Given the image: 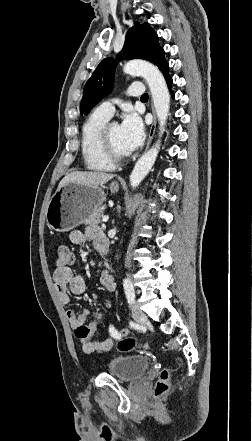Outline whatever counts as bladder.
Wrapping results in <instances>:
<instances>
[{
	"instance_id": "obj_1",
	"label": "bladder",
	"mask_w": 252,
	"mask_h": 441,
	"mask_svg": "<svg viewBox=\"0 0 252 441\" xmlns=\"http://www.w3.org/2000/svg\"><path fill=\"white\" fill-rule=\"evenodd\" d=\"M149 366L148 357L143 355L117 357L108 363L110 373L124 382L137 380L146 372Z\"/></svg>"
}]
</instances>
